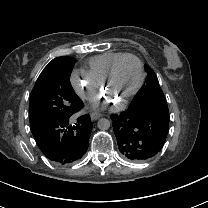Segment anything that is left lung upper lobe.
I'll return each instance as SVG.
<instances>
[{
	"mask_svg": "<svg viewBox=\"0 0 208 208\" xmlns=\"http://www.w3.org/2000/svg\"><path fill=\"white\" fill-rule=\"evenodd\" d=\"M146 72L148 73L146 85L137 94L128 109L138 113H150L169 120L167 102L157 76L149 66H146Z\"/></svg>",
	"mask_w": 208,
	"mask_h": 208,
	"instance_id": "obj_1",
	"label": "left lung upper lobe"
}]
</instances>
